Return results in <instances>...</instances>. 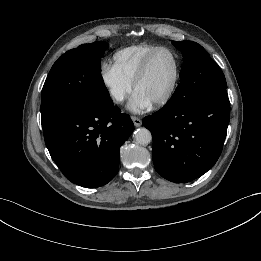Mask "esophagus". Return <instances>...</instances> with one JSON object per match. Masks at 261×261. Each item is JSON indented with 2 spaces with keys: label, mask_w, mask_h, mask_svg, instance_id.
<instances>
[{
  "label": "esophagus",
  "mask_w": 261,
  "mask_h": 261,
  "mask_svg": "<svg viewBox=\"0 0 261 261\" xmlns=\"http://www.w3.org/2000/svg\"><path fill=\"white\" fill-rule=\"evenodd\" d=\"M131 119H132V121H133V123H134V125H135L136 127L141 126L142 121H141V119H140L139 117L132 116Z\"/></svg>",
  "instance_id": "1"
}]
</instances>
